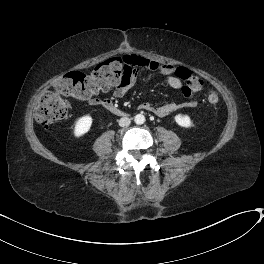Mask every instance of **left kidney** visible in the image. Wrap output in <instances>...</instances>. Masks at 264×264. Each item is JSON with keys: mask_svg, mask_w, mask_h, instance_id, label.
Masks as SVG:
<instances>
[{"mask_svg": "<svg viewBox=\"0 0 264 264\" xmlns=\"http://www.w3.org/2000/svg\"><path fill=\"white\" fill-rule=\"evenodd\" d=\"M176 123L184 128L192 127V121L188 115L178 114L174 117Z\"/></svg>", "mask_w": 264, "mask_h": 264, "instance_id": "obj_1", "label": "left kidney"}]
</instances>
